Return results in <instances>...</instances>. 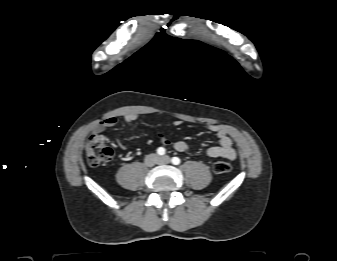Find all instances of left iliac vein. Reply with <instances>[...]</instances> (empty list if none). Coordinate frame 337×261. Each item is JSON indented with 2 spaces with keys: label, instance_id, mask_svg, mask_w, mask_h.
Masks as SVG:
<instances>
[{
  "label": "left iliac vein",
  "instance_id": "4c4485c4",
  "mask_svg": "<svg viewBox=\"0 0 337 261\" xmlns=\"http://www.w3.org/2000/svg\"><path fill=\"white\" fill-rule=\"evenodd\" d=\"M171 159L168 156H162L159 158L160 164H168L170 163Z\"/></svg>",
  "mask_w": 337,
  "mask_h": 261
}]
</instances>
